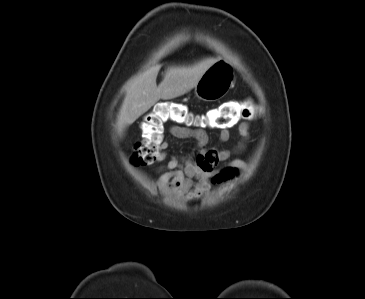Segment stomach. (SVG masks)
<instances>
[{
	"instance_id": "1",
	"label": "stomach",
	"mask_w": 365,
	"mask_h": 299,
	"mask_svg": "<svg viewBox=\"0 0 365 299\" xmlns=\"http://www.w3.org/2000/svg\"><path fill=\"white\" fill-rule=\"evenodd\" d=\"M235 82L234 69L230 63L219 59L201 76L194 87L197 98L212 102L224 97Z\"/></svg>"
}]
</instances>
